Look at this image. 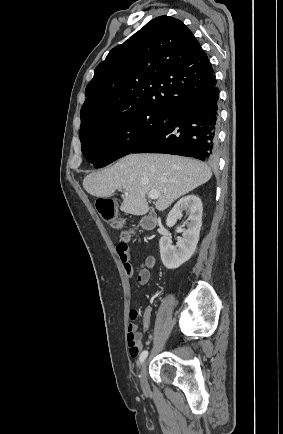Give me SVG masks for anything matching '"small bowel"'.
<instances>
[{
    "mask_svg": "<svg viewBox=\"0 0 283 434\" xmlns=\"http://www.w3.org/2000/svg\"><path fill=\"white\" fill-rule=\"evenodd\" d=\"M117 253L123 264V268L128 277H132L135 273V268L132 264L131 254L128 251L126 245L119 243L117 245ZM156 258L154 256H148L141 264V268L137 274V283L140 286H144L148 283L150 279V270L156 266ZM152 320V311L147 308L142 316V331L138 329L135 323H130L127 329V344L129 348V354L132 358L139 355L142 345L141 339L144 333H146L150 326Z\"/></svg>",
    "mask_w": 283,
    "mask_h": 434,
    "instance_id": "1",
    "label": "small bowel"
}]
</instances>
